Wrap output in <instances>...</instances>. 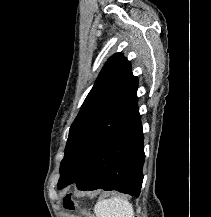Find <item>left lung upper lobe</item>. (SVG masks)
Returning <instances> with one entry per match:
<instances>
[{"label": "left lung upper lobe", "mask_w": 211, "mask_h": 217, "mask_svg": "<svg viewBox=\"0 0 211 217\" xmlns=\"http://www.w3.org/2000/svg\"><path fill=\"white\" fill-rule=\"evenodd\" d=\"M138 79L122 53L108 59L72 123L58 188L75 179L105 141L139 113Z\"/></svg>", "instance_id": "1"}]
</instances>
